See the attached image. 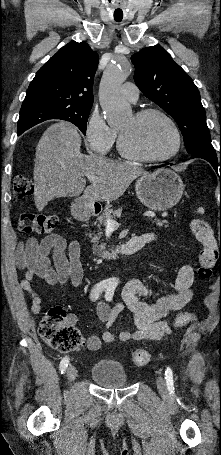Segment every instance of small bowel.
Returning <instances> with one entry per match:
<instances>
[{
	"instance_id": "obj_1",
	"label": "small bowel",
	"mask_w": 221,
	"mask_h": 455,
	"mask_svg": "<svg viewBox=\"0 0 221 455\" xmlns=\"http://www.w3.org/2000/svg\"><path fill=\"white\" fill-rule=\"evenodd\" d=\"M145 245L156 240L154 233L139 236ZM81 249L77 241L68 245L63 237L50 234L42 240L29 238L17 255V264L24 268L25 275L20 282L21 288L30 296L35 312L41 309V297L32 288V280L41 278L50 286L78 287L83 280L80 262ZM194 271L191 266L180 268L170 292L156 300H150L152 290L140 279L127 281L122 289L121 300L114 307L100 300L96 303V312L104 325L100 334H93L87 339V348L97 350L101 343L112 344L117 339L123 342L149 340L157 341L172 332L168 315L184 308L191 300L194 283ZM128 309L133 314L135 330H123L118 335L109 329L118 316ZM71 321H75L73 316Z\"/></svg>"
}]
</instances>
